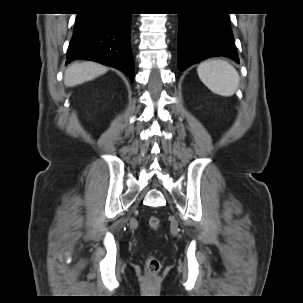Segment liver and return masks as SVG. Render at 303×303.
I'll use <instances>...</instances> for the list:
<instances>
[{
  "label": "liver",
  "mask_w": 303,
  "mask_h": 303,
  "mask_svg": "<svg viewBox=\"0 0 303 303\" xmlns=\"http://www.w3.org/2000/svg\"><path fill=\"white\" fill-rule=\"evenodd\" d=\"M107 67L94 63H72L64 74V83L67 87H73L82 84L86 81H90L99 75L106 73Z\"/></svg>",
  "instance_id": "liver-1"
}]
</instances>
